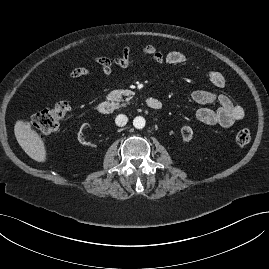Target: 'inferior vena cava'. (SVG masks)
Here are the masks:
<instances>
[{
	"mask_svg": "<svg viewBox=\"0 0 269 269\" xmlns=\"http://www.w3.org/2000/svg\"><path fill=\"white\" fill-rule=\"evenodd\" d=\"M128 122V118L126 115L124 114H119L116 118H115V124L119 127H123L127 124Z\"/></svg>",
	"mask_w": 269,
	"mask_h": 269,
	"instance_id": "obj_1",
	"label": "inferior vena cava"
}]
</instances>
